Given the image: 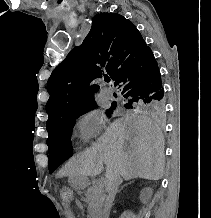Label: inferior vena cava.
I'll use <instances>...</instances> for the list:
<instances>
[{"mask_svg": "<svg viewBox=\"0 0 211 218\" xmlns=\"http://www.w3.org/2000/svg\"><path fill=\"white\" fill-rule=\"evenodd\" d=\"M119 184H121L120 176H115V174H111V172H106V212H108L109 208H111L112 202H114V198L117 194Z\"/></svg>", "mask_w": 211, "mask_h": 218, "instance_id": "1", "label": "inferior vena cava"}]
</instances>
